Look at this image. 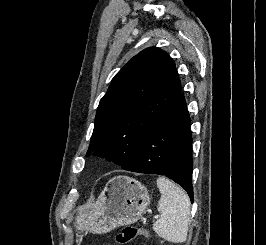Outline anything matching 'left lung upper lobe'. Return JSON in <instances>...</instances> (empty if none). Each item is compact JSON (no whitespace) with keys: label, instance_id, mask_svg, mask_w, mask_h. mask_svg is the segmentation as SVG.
<instances>
[{"label":"left lung upper lobe","instance_id":"5c2ea615","mask_svg":"<svg viewBox=\"0 0 266 245\" xmlns=\"http://www.w3.org/2000/svg\"><path fill=\"white\" fill-rule=\"evenodd\" d=\"M180 91L170 56L156 47L141 51L116 74L101 99L86 156L106 157L126 169L143 135Z\"/></svg>","mask_w":266,"mask_h":245}]
</instances>
